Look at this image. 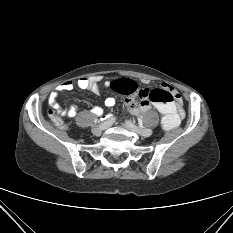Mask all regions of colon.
<instances>
[{
  "mask_svg": "<svg viewBox=\"0 0 233 233\" xmlns=\"http://www.w3.org/2000/svg\"><path fill=\"white\" fill-rule=\"evenodd\" d=\"M111 87L119 94L129 95L140 101L152 102L162 114V128L172 131L180 124V115L174 105L172 93L164 88H142L130 79H118L112 82ZM50 116L56 124H61V119L56 110L50 111Z\"/></svg>",
  "mask_w": 233,
  "mask_h": 233,
  "instance_id": "colon-1",
  "label": "colon"
}]
</instances>
